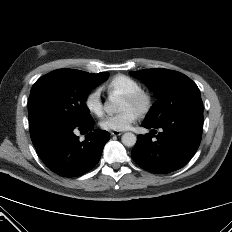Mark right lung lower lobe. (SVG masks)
Wrapping results in <instances>:
<instances>
[{"instance_id":"right-lung-lower-lobe-1","label":"right lung lower lobe","mask_w":232,"mask_h":232,"mask_svg":"<svg viewBox=\"0 0 232 232\" xmlns=\"http://www.w3.org/2000/svg\"><path fill=\"white\" fill-rule=\"evenodd\" d=\"M93 128V121L81 126L31 124L30 135L40 158L50 170L64 177H77L98 163L103 147L110 139L107 131ZM76 129L91 132L80 142L74 134Z\"/></svg>"}]
</instances>
